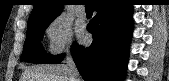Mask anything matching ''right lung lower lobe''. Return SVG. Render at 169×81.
I'll list each match as a JSON object with an SVG mask.
<instances>
[{"label": "right lung lower lobe", "mask_w": 169, "mask_h": 81, "mask_svg": "<svg viewBox=\"0 0 169 81\" xmlns=\"http://www.w3.org/2000/svg\"><path fill=\"white\" fill-rule=\"evenodd\" d=\"M96 16L88 24L92 44L85 48L75 43L72 54L85 81H123L129 53L133 20L132 5L123 0H97ZM64 54L53 56L58 64Z\"/></svg>", "instance_id": "1"}]
</instances>
